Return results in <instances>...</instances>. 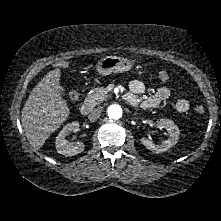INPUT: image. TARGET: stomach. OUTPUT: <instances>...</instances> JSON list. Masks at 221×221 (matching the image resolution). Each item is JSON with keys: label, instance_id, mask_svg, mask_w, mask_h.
<instances>
[{"label": "stomach", "instance_id": "stomach-1", "mask_svg": "<svg viewBox=\"0 0 221 221\" xmlns=\"http://www.w3.org/2000/svg\"><path fill=\"white\" fill-rule=\"evenodd\" d=\"M132 68V61L127 58L117 56H107L96 65V70L101 75H110L112 73L125 72Z\"/></svg>", "mask_w": 221, "mask_h": 221}]
</instances>
